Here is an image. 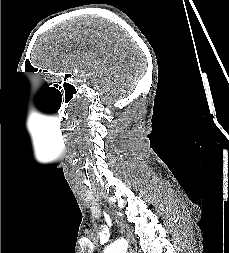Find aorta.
Listing matches in <instances>:
<instances>
[{"label": "aorta", "instance_id": "obj_1", "mask_svg": "<svg viewBox=\"0 0 229 253\" xmlns=\"http://www.w3.org/2000/svg\"><path fill=\"white\" fill-rule=\"evenodd\" d=\"M127 242L123 239H119L114 243L107 246L104 250V253H126Z\"/></svg>", "mask_w": 229, "mask_h": 253}]
</instances>
